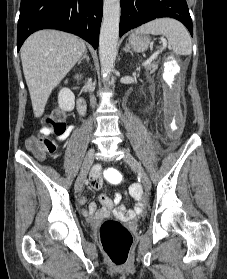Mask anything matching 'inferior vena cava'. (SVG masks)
Wrapping results in <instances>:
<instances>
[{
    "instance_id": "obj_1",
    "label": "inferior vena cava",
    "mask_w": 227,
    "mask_h": 279,
    "mask_svg": "<svg viewBox=\"0 0 227 279\" xmlns=\"http://www.w3.org/2000/svg\"><path fill=\"white\" fill-rule=\"evenodd\" d=\"M87 86L91 88V87H92V83H91V82H88V83H87ZM94 103H95L94 97H91V104L93 105Z\"/></svg>"
}]
</instances>
